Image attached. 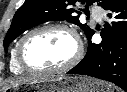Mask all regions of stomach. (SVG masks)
Here are the masks:
<instances>
[{
	"instance_id": "1",
	"label": "stomach",
	"mask_w": 127,
	"mask_h": 92,
	"mask_svg": "<svg viewBox=\"0 0 127 92\" xmlns=\"http://www.w3.org/2000/svg\"><path fill=\"white\" fill-rule=\"evenodd\" d=\"M25 88L37 92H103L97 82L82 76H59L36 83H27ZM19 89L20 86H15L9 88L8 91L17 92Z\"/></svg>"
}]
</instances>
